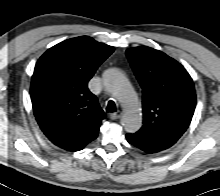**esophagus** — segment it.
Instances as JSON below:
<instances>
[{
  "label": "esophagus",
  "instance_id": "34e87169",
  "mask_svg": "<svg viewBox=\"0 0 220 196\" xmlns=\"http://www.w3.org/2000/svg\"><path fill=\"white\" fill-rule=\"evenodd\" d=\"M121 112L120 111H118V112H116V113H112L111 115H110V118L112 119V120H117V119H119L120 117H121Z\"/></svg>",
  "mask_w": 220,
  "mask_h": 196
}]
</instances>
